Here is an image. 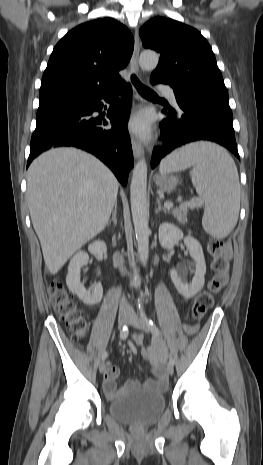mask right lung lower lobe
Here are the masks:
<instances>
[{
    "label": "right lung lower lobe",
    "mask_w": 263,
    "mask_h": 465,
    "mask_svg": "<svg viewBox=\"0 0 263 465\" xmlns=\"http://www.w3.org/2000/svg\"><path fill=\"white\" fill-rule=\"evenodd\" d=\"M114 93L122 98L116 99ZM101 99L112 103L107 117L113 127L106 130L107 121L93 117L94 111L103 108ZM132 103L130 85L122 83L103 93H88L74 99L38 109L36 129L31 138L27 167L43 151L52 147L74 146L88 151L102 160L126 185L133 166V153L127 121Z\"/></svg>",
    "instance_id": "obj_1"
}]
</instances>
